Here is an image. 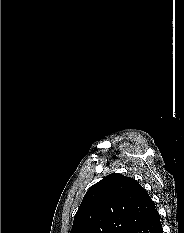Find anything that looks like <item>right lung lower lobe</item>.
<instances>
[{
  "instance_id": "98d812e1",
  "label": "right lung lower lobe",
  "mask_w": 184,
  "mask_h": 233,
  "mask_svg": "<svg viewBox=\"0 0 184 233\" xmlns=\"http://www.w3.org/2000/svg\"><path fill=\"white\" fill-rule=\"evenodd\" d=\"M129 233H163L162 224L157 209H155Z\"/></svg>"
}]
</instances>
